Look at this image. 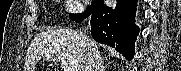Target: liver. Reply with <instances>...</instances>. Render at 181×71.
Returning <instances> with one entry per match:
<instances>
[{
    "instance_id": "liver-1",
    "label": "liver",
    "mask_w": 181,
    "mask_h": 71,
    "mask_svg": "<svg viewBox=\"0 0 181 71\" xmlns=\"http://www.w3.org/2000/svg\"><path fill=\"white\" fill-rule=\"evenodd\" d=\"M58 56L65 58L72 71H84L86 51L78 32L69 29H57L39 33L28 47L24 69L25 71H35L36 64L42 58H48L56 63Z\"/></svg>"
}]
</instances>
